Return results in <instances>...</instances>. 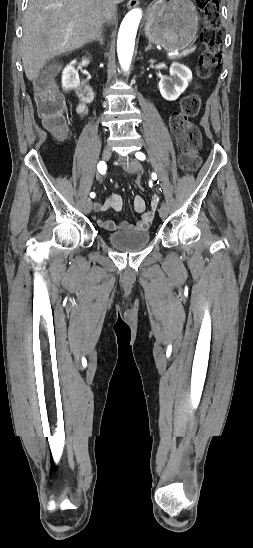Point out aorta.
Listing matches in <instances>:
<instances>
[{
	"label": "aorta",
	"instance_id": "obj_1",
	"mask_svg": "<svg viewBox=\"0 0 253 548\" xmlns=\"http://www.w3.org/2000/svg\"><path fill=\"white\" fill-rule=\"evenodd\" d=\"M142 18V10L132 9L124 17L117 40V52L119 63L124 70H128L132 61L135 38L139 23Z\"/></svg>",
	"mask_w": 253,
	"mask_h": 548
}]
</instances>
